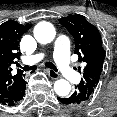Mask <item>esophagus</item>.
<instances>
[{
  "label": "esophagus",
  "instance_id": "1",
  "mask_svg": "<svg viewBox=\"0 0 117 117\" xmlns=\"http://www.w3.org/2000/svg\"><path fill=\"white\" fill-rule=\"evenodd\" d=\"M48 71V75L52 78V79H58L59 78V74L52 70V69H47Z\"/></svg>",
  "mask_w": 117,
  "mask_h": 117
}]
</instances>
